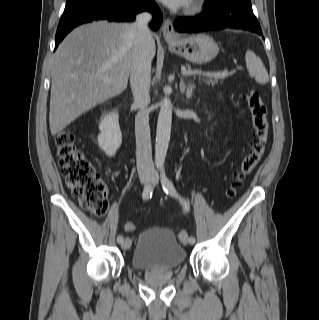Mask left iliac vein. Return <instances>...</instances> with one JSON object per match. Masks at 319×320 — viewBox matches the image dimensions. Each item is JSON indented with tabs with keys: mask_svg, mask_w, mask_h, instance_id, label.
Returning a JSON list of instances; mask_svg holds the SVG:
<instances>
[{
	"mask_svg": "<svg viewBox=\"0 0 319 320\" xmlns=\"http://www.w3.org/2000/svg\"><path fill=\"white\" fill-rule=\"evenodd\" d=\"M152 181L154 184L158 183V177L156 175H154V177L152 178ZM183 233L180 235V240L184 245L188 244V235L186 233V231H182Z\"/></svg>",
	"mask_w": 319,
	"mask_h": 320,
	"instance_id": "4c4485c4",
	"label": "left iliac vein"
}]
</instances>
